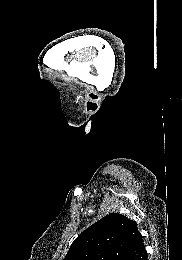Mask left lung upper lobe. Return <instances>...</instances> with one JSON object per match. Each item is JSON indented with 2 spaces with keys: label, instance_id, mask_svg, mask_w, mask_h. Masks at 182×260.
Listing matches in <instances>:
<instances>
[{
  "label": "left lung upper lobe",
  "instance_id": "left-lung-upper-lobe-1",
  "mask_svg": "<svg viewBox=\"0 0 182 260\" xmlns=\"http://www.w3.org/2000/svg\"><path fill=\"white\" fill-rule=\"evenodd\" d=\"M139 234L135 221L106 215L74 240L64 260H122Z\"/></svg>",
  "mask_w": 182,
  "mask_h": 260
}]
</instances>
